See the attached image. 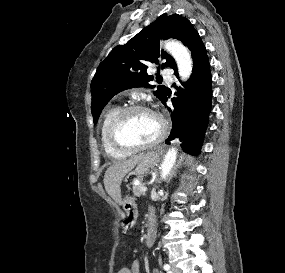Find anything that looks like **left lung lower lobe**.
I'll return each instance as SVG.
<instances>
[{
  "label": "left lung lower lobe",
  "instance_id": "left-lung-lower-lobe-1",
  "mask_svg": "<svg viewBox=\"0 0 285 273\" xmlns=\"http://www.w3.org/2000/svg\"><path fill=\"white\" fill-rule=\"evenodd\" d=\"M194 62L192 75L183 87L175 93L171 113L172 130L166 140L179 138L182 148L189 153L197 154L200 150L204 133L208 124L211 109V74L206 48L197 31L192 32L187 43ZM178 77L177 66L173 67ZM167 96L162 103L166 105Z\"/></svg>",
  "mask_w": 285,
  "mask_h": 273
}]
</instances>
